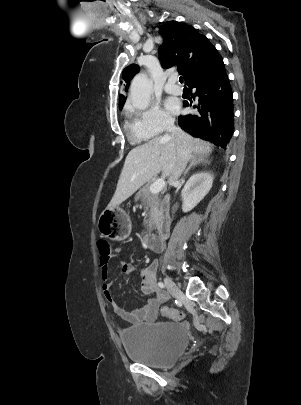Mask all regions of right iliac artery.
Segmentation results:
<instances>
[{"label": "right iliac artery", "instance_id": "1", "mask_svg": "<svg viewBox=\"0 0 301 405\" xmlns=\"http://www.w3.org/2000/svg\"><path fill=\"white\" fill-rule=\"evenodd\" d=\"M158 286H159L160 288H162V289L165 288V285H164V283H162V282H159V283H158Z\"/></svg>", "mask_w": 301, "mask_h": 405}]
</instances>
